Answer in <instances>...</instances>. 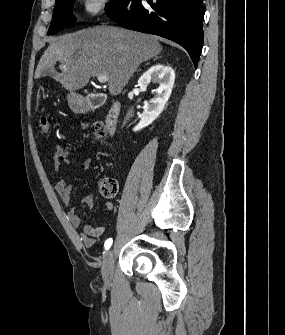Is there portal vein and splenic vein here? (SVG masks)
<instances>
[{"instance_id": "18ae733b", "label": "portal vein and splenic vein", "mask_w": 285, "mask_h": 335, "mask_svg": "<svg viewBox=\"0 0 285 335\" xmlns=\"http://www.w3.org/2000/svg\"><path fill=\"white\" fill-rule=\"evenodd\" d=\"M97 80H98V82H100V84H106V82H108L109 78H108V76H104V74H99V76H97Z\"/></svg>"}]
</instances>
